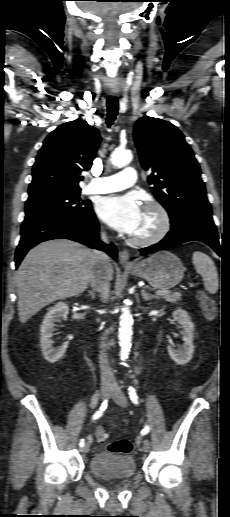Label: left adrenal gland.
Here are the masks:
<instances>
[{
    "instance_id": "left-adrenal-gland-1",
    "label": "left adrenal gland",
    "mask_w": 230,
    "mask_h": 517,
    "mask_svg": "<svg viewBox=\"0 0 230 517\" xmlns=\"http://www.w3.org/2000/svg\"><path fill=\"white\" fill-rule=\"evenodd\" d=\"M141 295H142V298L144 301H149L151 299L157 298V296H155V295L146 293V291L144 289L141 291Z\"/></svg>"
}]
</instances>
